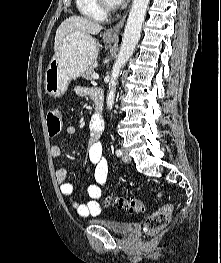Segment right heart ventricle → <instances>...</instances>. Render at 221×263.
I'll use <instances>...</instances> for the list:
<instances>
[{"label":"right heart ventricle","instance_id":"obj_1","mask_svg":"<svg viewBox=\"0 0 221 263\" xmlns=\"http://www.w3.org/2000/svg\"><path fill=\"white\" fill-rule=\"evenodd\" d=\"M79 12L88 19L104 21L106 12L102 10L96 0H75Z\"/></svg>","mask_w":221,"mask_h":263}]
</instances>
